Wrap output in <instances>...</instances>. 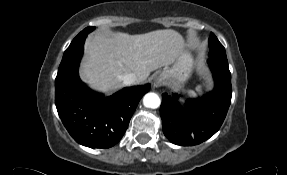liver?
Instances as JSON below:
<instances>
[{
  "label": "liver",
  "instance_id": "liver-1",
  "mask_svg": "<svg viewBox=\"0 0 287 175\" xmlns=\"http://www.w3.org/2000/svg\"><path fill=\"white\" fill-rule=\"evenodd\" d=\"M183 44L182 35L172 29L138 35L98 33L85 43L80 75L91 87L111 93L123 86L128 73L143 83L152 71L173 64Z\"/></svg>",
  "mask_w": 287,
  "mask_h": 175
}]
</instances>
